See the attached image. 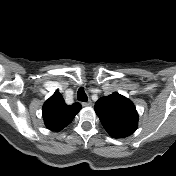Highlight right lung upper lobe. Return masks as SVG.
Listing matches in <instances>:
<instances>
[{"instance_id": "cb5924a9", "label": "right lung upper lobe", "mask_w": 176, "mask_h": 176, "mask_svg": "<svg viewBox=\"0 0 176 176\" xmlns=\"http://www.w3.org/2000/svg\"><path fill=\"white\" fill-rule=\"evenodd\" d=\"M81 109L80 103L66 105L62 95L56 90L43 105L44 123L48 129L60 131L72 122Z\"/></svg>"}]
</instances>
